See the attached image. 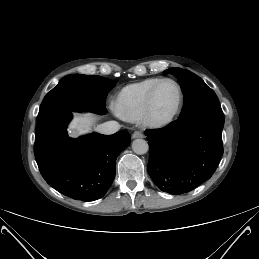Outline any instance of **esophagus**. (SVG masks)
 <instances>
[{"mask_svg":"<svg viewBox=\"0 0 259 259\" xmlns=\"http://www.w3.org/2000/svg\"><path fill=\"white\" fill-rule=\"evenodd\" d=\"M144 137V135H143V133L141 132V131H135V132H133V134H132V138L133 139H136V138H143Z\"/></svg>","mask_w":259,"mask_h":259,"instance_id":"esophagus-1","label":"esophagus"}]
</instances>
